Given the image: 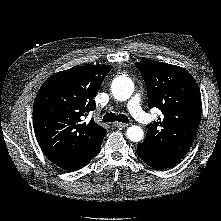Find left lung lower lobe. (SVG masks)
Instances as JSON below:
<instances>
[{
  "label": "left lung lower lobe",
  "instance_id": "left-lung-lower-lobe-1",
  "mask_svg": "<svg viewBox=\"0 0 221 221\" xmlns=\"http://www.w3.org/2000/svg\"><path fill=\"white\" fill-rule=\"evenodd\" d=\"M136 153L147 165L159 170L171 168L181 160V158L154 150L144 143L138 144Z\"/></svg>",
  "mask_w": 221,
  "mask_h": 221
}]
</instances>
